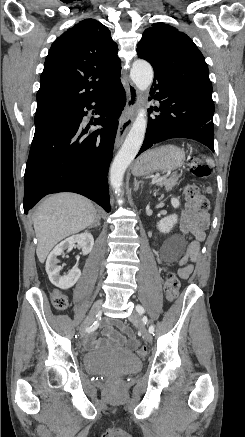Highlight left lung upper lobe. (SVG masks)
Masks as SVG:
<instances>
[{"instance_id":"5c2ea615","label":"left lung upper lobe","mask_w":245,"mask_h":437,"mask_svg":"<svg viewBox=\"0 0 245 437\" xmlns=\"http://www.w3.org/2000/svg\"><path fill=\"white\" fill-rule=\"evenodd\" d=\"M137 54L147 60L154 71L212 94L204 56L195 43L176 28L164 23L152 24L144 31Z\"/></svg>"}]
</instances>
